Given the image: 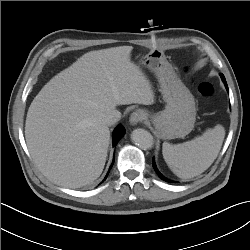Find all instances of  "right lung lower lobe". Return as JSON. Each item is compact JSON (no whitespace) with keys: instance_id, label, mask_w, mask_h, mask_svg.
Listing matches in <instances>:
<instances>
[{"instance_id":"1","label":"right lung lower lobe","mask_w":250,"mask_h":250,"mask_svg":"<svg viewBox=\"0 0 250 250\" xmlns=\"http://www.w3.org/2000/svg\"><path fill=\"white\" fill-rule=\"evenodd\" d=\"M125 134V129L122 125H118L115 130L113 131V146H115L118 141L121 139V137H123ZM114 163V160H113ZM113 164L111 165L110 169L112 168ZM109 169V171H110ZM108 171V173H109ZM108 176V175H107ZM107 176L105 177V179L107 178Z\"/></svg>"}]
</instances>
